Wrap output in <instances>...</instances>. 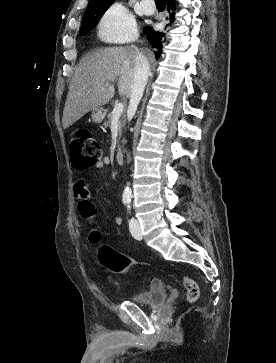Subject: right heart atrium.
<instances>
[{
  "label": "right heart atrium",
  "instance_id": "1",
  "mask_svg": "<svg viewBox=\"0 0 276 363\" xmlns=\"http://www.w3.org/2000/svg\"><path fill=\"white\" fill-rule=\"evenodd\" d=\"M98 32L103 40L127 42L135 37L136 24L132 14L123 4L114 3L102 16Z\"/></svg>",
  "mask_w": 276,
  "mask_h": 363
}]
</instances>
